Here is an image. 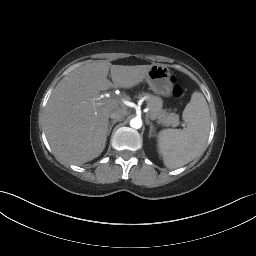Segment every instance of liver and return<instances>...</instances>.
Here are the masks:
<instances>
[{
    "mask_svg": "<svg viewBox=\"0 0 256 256\" xmlns=\"http://www.w3.org/2000/svg\"><path fill=\"white\" fill-rule=\"evenodd\" d=\"M153 65H112L103 60L82 65L63 77L53 90L44 114V128L57 160L84 164L103 152L109 115L114 109L101 99L111 87L131 88L141 83ZM110 71L112 82L107 79Z\"/></svg>",
    "mask_w": 256,
    "mask_h": 256,
    "instance_id": "6515ba94",
    "label": "liver"
}]
</instances>
